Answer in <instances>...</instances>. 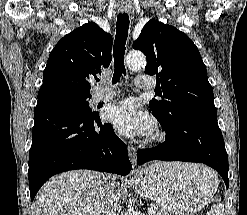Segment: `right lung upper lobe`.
Masks as SVG:
<instances>
[{
  "mask_svg": "<svg viewBox=\"0 0 247 215\" xmlns=\"http://www.w3.org/2000/svg\"><path fill=\"white\" fill-rule=\"evenodd\" d=\"M112 41L109 33L92 22L65 35L49 55L42 89L64 88L90 95L88 79L96 78L110 64Z\"/></svg>",
  "mask_w": 247,
  "mask_h": 215,
  "instance_id": "1",
  "label": "right lung upper lobe"
}]
</instances>
